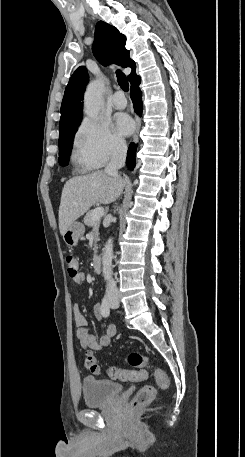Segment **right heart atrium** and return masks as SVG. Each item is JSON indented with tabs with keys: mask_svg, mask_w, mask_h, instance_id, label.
<instances>
[{
	"mask_svg": "<svg viewBox=\"0 0 245 457\" xmlns=\"http://www.w3.org/2000/svg\"><path fill=\"white\" fill-rule=\"evenodd\" d=\"M77 143L97 164L120 155L125 149V141L104 119L85 117L78 129Z\"/></svg>",
	"mask_w": 245,
	"mask_h": 457,
	"instance_id": "right-heart-atrium-1",
	"label": "right heart atrium"
}]
</instances>
